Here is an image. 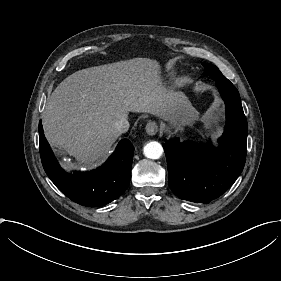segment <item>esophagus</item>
<instances>
[{
  "mask_svg": "<svg viewBox=\"0 0 281 281\" xmlns=\"http://www.w3.org/2000/svg\"><path fill=\"white\" fill-rule=\"evenodd\" d=\"M145 130L148 135H155L157 133L158 126L154 121H151L146 124Z\"/></svg>",
  "mask_w": 281,
  "mask_h": 281,
  "instance_id": "obj_1",
  "label": "esophagus"
}]
</instances>
